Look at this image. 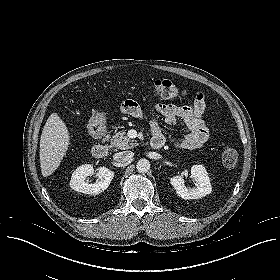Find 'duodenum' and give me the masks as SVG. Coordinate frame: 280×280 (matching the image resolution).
Masks as SVG:
<instances>
[{
  "label": "duodenum",
  "mask_w": 280,
  "mask_h": 280,
  "mask_svg": "<svg viewBox=\"0 0 280 280\" xmlns=\"http://www.w3.org/2000/svg\"><path fill=\"white\" fill-rule=\"evenodd\" d=\"M101 133H97V137H101ZM164 146V140L161 137H153L151 140V147L153 149H161ZM109 148L106 144L101 141H98L92 149L93 157L96 159H102L107 156Z\"/></svg>",
  "instance_id": "duodenum-1"
}]
</instances>
